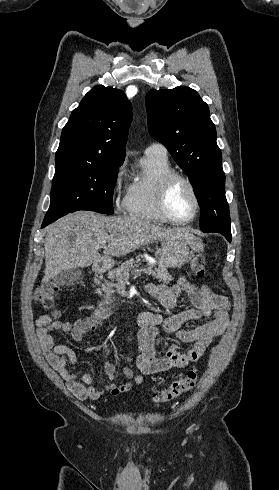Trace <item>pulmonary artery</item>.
Returning a JSON list of instances; mask_svg holds the SVG:
<instances>
[{
	"label": "pulmonary artery",
	"mask_w": 279,
	"mask_h": 490,
	"mask_svg": "<svg viewBox=\"0 0 279 490\" xmlns=\"http://www.w3.org/2000/svg\"><path fill=\"white\" fill-rule=\"evenodd\" d=\"M145 155H153L159 157H168V151L165 145L161 142L155 141L151 143L144 151Z\"/></svg>",
	"instance_id": "e3ab8cb5"
}]
</instances>
